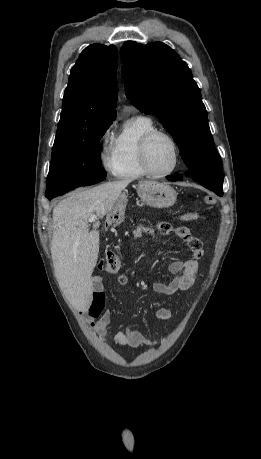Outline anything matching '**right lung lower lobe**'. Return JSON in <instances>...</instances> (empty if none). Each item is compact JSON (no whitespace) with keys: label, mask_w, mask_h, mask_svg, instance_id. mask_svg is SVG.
I'll list each match as a JSON object with an SVG mask.
<instances>
[{"label":"right lung lower lobe","mask_w":261,"mask_h":459,"mask_svg":"<svg viewBox=\"0 0 261 459\" xmlns=\"http://www.w3.org/2000/svg\"><path fill=\"white\" fill-rule=\"evenodd\" d=\"M87 185H90V184H87ZM87 185H83V186H87ZM49 200H51L52 198H48Z\"/></svg>","instance_id":"right-lung-lower-lobe-1"}]
</instances>
